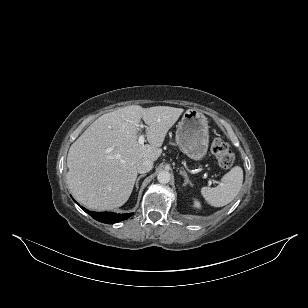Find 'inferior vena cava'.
<instances>
[{"instance_id":"obj_1","label":"inferior vena cava","mask_w":308,"mask_h":308,"mask_svg":"<svg viewBox=\"0 0 308 308\" xmlns=\"http://www.w3.org/2000/svg\"><path fill=\"white\" fill-rule=\"evenodd\" d=\"M153 168V161L147 158L142 159L137 164V171L139 173H147Z\"/></svg>"}]
</instances>
